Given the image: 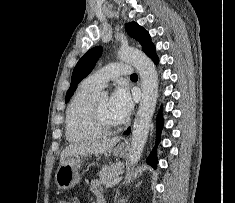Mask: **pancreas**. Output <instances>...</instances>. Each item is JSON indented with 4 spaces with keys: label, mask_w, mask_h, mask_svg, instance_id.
Wrapping results in <instances>:
<instances>
[{
    "label": "pancreas",
    "mask_w": 235,
    "mask_h": 203,
    "mask_svg": "<svg viewBox=\"0 0 235 203\" xmlns=\"http://www.w3.org/2000/svg\"><path fill=\"white\" fill-rule=\"evenodd\" d=\"M122 171V165L120 163L112 164L109 166H103L99 171V179L102 184L110 183L115 177Z\"/></svg>",
    "instance_id": "obj_1"
}]
</instances>
